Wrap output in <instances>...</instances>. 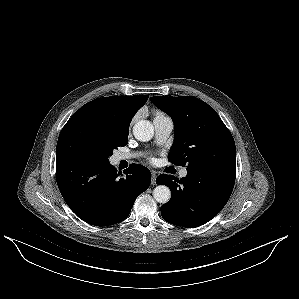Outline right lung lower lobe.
I'll list each match as a JSON object with an SVG mask.
<instances>
[{
    "label": "right lung lower lobe",
    "instance_id": "obj_1",
    "mask_svg": "<svg viewBox=\"0 0 299 299\" xmlns=\"http://www.w3.org/2000/svg\"><path fill=\"white\" fill-rule=\"evenodd\" d=\"M117 172L110 165L75 159H56V180L70 209L91 225L107 226L123 221L136 198L150 185V171L131 164Z\"/></svg>",
    "mask_w": 299,
    "mask_h": 299
}]
</instances>
